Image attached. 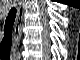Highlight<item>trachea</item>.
Masks as SVG:
<instances>
[{
  "label": "trachea",
  "mask_w": 80,
  "mask_h": 60,
  "mask_svg": "<svg viewBox=\"0 0 80 60\" xmlns=\"http://www.w3.org/2000/svg\"><path fill=\"white\" fill-rule=\"evenodd\" d=\"M16 17V9L13 7L6 18L4 27V37L0 44L1 55L8 56L10 58L11 46H12V28Z\"/></svg>",
  "instance_id": "3493384b"
}]
</instances>
